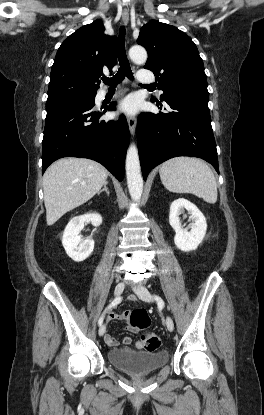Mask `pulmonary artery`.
<instances>
[{"label":"pulmonary artery","mask_w":264,"mask_h":415,"mask_svg":"<svg viewBox=\"0 0 264 415\" xmlns=\"http://www.w3.org/2000/svg\"><path fill=\"white\" fill-rule=\"evenodd\" d=\"M138 79L143 84H150L155 82V77L151 74L140 72L138 73ZM105 92V91H104Z\"/></svg>","instance_id":"obj_1"}]
</instances>
